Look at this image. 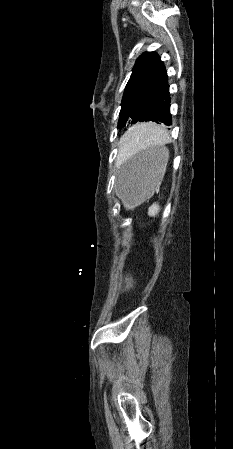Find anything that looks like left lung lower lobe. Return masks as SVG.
Instances as JSON below:
<instances>
[{"mask_svg": "<svg viewBox=\"0 0 233 449\" xmlns=\"http://www.w3.org/2000/svg\"><path fill=\"white\" fill-rule=\"evenodd\" d=\"M147 114L145 121L161 122L165 125H171L169 86H167L166 89L153 101L152 105L147 110Z\"/></svg>", "mask_w": 233, "mask_h": 449, "instance_id": "0a47b994", "label": "left lung lower lobe"}]
</instances>
